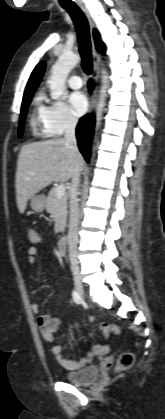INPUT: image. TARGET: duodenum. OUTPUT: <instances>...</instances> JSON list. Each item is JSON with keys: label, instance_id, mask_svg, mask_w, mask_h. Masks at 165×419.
I'll return each instance as SVG.
<instances>
[{"label": "duodenum", "instance_id": "obj_1", "mask_svg": "<svg viewBox=\"0 0 165 419\" xmlns=\"http://www.w3.org/2000/svg\"><path fill=\"white\" fill-rule=\"evenodd\" d=\"M66 237L61 236L57 242V248L61 255H64L66 253Z\"/></svg>", "mask_w": 165, "mask_h": 419}]
</instances>
